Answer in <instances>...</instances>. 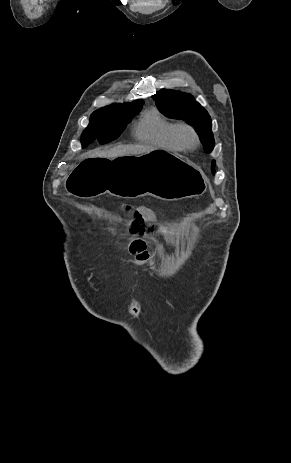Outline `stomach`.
<instances>
[{
	"mask_svg": "<svg viewBox=\"0 0 291 463\" xmlns=\"http://www.w3.org/2000/svg\"><path fill=\"white\" fill-rule=\"evenodd\" d=\"M80 163L65 186L70 194L81 198L109 193L126 199L151 195L162 200H180L200 196L207 188L200 167L160 149L117 158L83 157Z\"/></svg>",
	"mask_w": 291,
	"mask_h": 463,
	"instance_id": "obj_1",
	"label": "stomach"
}]
</instances>
